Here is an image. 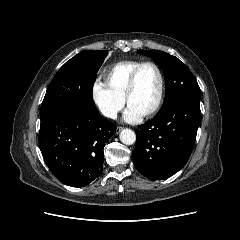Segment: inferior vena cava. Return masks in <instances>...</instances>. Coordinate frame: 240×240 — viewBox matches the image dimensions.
Listing matches in <instances>:
<instances>
[{"label":"inferior vena cava","mask_w":240,"mask_h":240,"mask_svg":"<svg viewBox=\"0 0 240 240\" xmlns=\"http://www.w3.org/2000/svg\"><path fill=\"white\" fill-rule=\"evenodd\" d=\"M102 113L109 118L116 119L117 118V110L113 108H104Z\"/></svg>","instance_id":"1"}]
</instances>
